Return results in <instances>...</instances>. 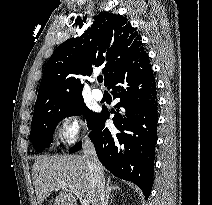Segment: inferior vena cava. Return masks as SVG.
<instances>
[{
  "mask_svg": "<svg viewBox=\"0 0 212 205\" xmlns=\"http://www.w3.org/2000/svg\"><path fill=\"white\" fill-rule=\"evenodd\" d=\"M83 153L90 171V181L94 191L93 205H104L106 191L103 168L98 160L94 145L88 139H85L83 143Z\"/></svg>",
  "mask_w": 212,
  "mask_h": 205,
  "instance_id": "inferior-vena-cava-1",
  "label": "inferior vena cava"
}]
</instances>
